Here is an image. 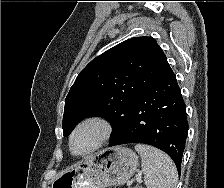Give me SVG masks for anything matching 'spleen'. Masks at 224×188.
<instances>
[{
    "mask_svg": "<svg viewBox=\"0 0 224 188\" xmlns=\"http://www.w3.org/2000/svg\"><path fill=\"white\" fill-rule=\"evenodd\" d=\"M142 159L144 183L147 188H175L178 173L172 159L164 152L145 144L135 145Z\"/></svg>",
    "mask_w": 224,
    "mask_h": 188,
    "instance_id": "1",
    "label": "spleen"
}]
</instances>
